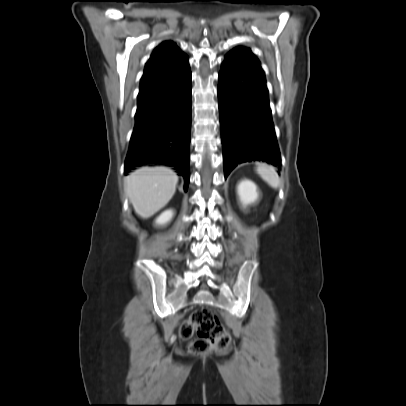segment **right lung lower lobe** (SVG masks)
Instances as JSON below:
<instances>
[{
    "label": "right lung lower lobe",
    "mask_w": 406,
    "mask_h": 406,
    "mask_svg": "<svg viewBox=\"0 0 406 406\" xmlns=\"http://www.w3.org/2000/svg\"><path fill=\"white\" fill-rule=\"evenodd\" d=\"M191 92V70L187 66L171 80L139 93L125 174L143 164L173 166L184 177L187 190Z\"/></svg>",
    "instance_id": "1"
}]
</instances>
